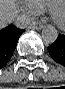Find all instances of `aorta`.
<instances>
[{
  "mask_svg": "<svg viewBox=\"0 0 65 89\" xmlns=\"http://www.w3.org/2000/svg\"><path fill=\"white\" fill-rule=\"evenodd\" d=\"M58 32L54 26L47 25L42 29V39L47 44H52L56 41Z\"/></svg>",
  "mask_w": 65,
  "mask_h": 89,
  "instance_id": "1",
  "label": "aorta"
}]
</instances>
